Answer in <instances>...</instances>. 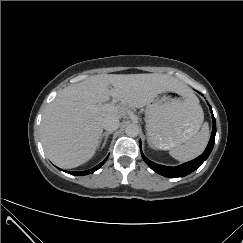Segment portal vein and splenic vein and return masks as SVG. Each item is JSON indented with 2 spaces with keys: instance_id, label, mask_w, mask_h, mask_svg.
Segmentation results:
<instances>
[{
  "instance_id": "portal-vein-and-splenic-vein-1",
  "label": "portal vein and splenic vein",
  "mask_w": 243,
  "mask_h": 243,
  "mask_svg": "<svg viewBox=\"0 0 243 243\" xmlns=\"http://www.w3.org/2000/svg\"><path fill=\"white\" fill-rule=\"evenodd\" d=\"M99 111H114L116 110V106L113 103H108L104 105H99L96 107Z\"/></svg>"
}]
</instances>
